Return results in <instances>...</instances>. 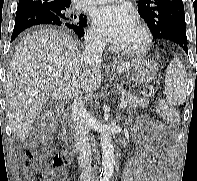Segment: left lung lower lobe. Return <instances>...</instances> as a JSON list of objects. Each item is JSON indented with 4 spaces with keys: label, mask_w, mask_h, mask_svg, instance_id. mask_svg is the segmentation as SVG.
Returning <instances> with one entry per match:
<instances>
[{
    "label": "left lung lower lobe",
    "mask_w": 197,
    "mask_h": 181,
    "mask_svg": "<svg viewBox=\"0 0 197 181\" xmlns=\"http://www.w3.org/2000/svg\"><path fill=\"white\" fill-rule=\"evenodd\" d=\"M165 39H169L179 44L188 54L186 28H174L165 34Z\"/></svg>",
    "instance_id": "obj_1"
}]
</instances>
